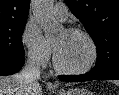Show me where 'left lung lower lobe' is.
<instances>
[{
  "mask_svg": "<svg viewBox=\"0 0 119 95\" xmlns=\"http://www.w3.org/2000/svg\"><path fill=\"white\" fill-rule=\"evenodd\" d=\"M59 79L68 82H84L91 80H112V79L119 80V65H116L112 69L103 73L92 69L86 74L77 76L60 75Z\"/></svg>",
  "mask_w": 119,
  "mask_h": 95,
  "instance_id": "obj_1",
  "label": "left lung lower lobe"
}]
</instances>
